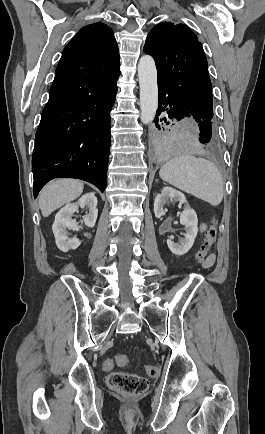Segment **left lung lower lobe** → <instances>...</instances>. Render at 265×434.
<instances>
[{"label":"left lung lower lobe","instance_id":"left-lung-lower-lobe-1","mask_svg":"<svg viewBox=\"0 0 265 434\" xmlns=\"http://www.w3.org/2000/svg\"><path fill=\"white\" fill-rule=\"evenodd\" d=\"M159 108L155 117V124L160 129L159 122L166 121V118H160L161 112L167 110L168 118L181 120L189 119L194 126L195 145L197 150L206 154L218 153L221 149V143L215 124L204 122L200 116H195L188 111L185 103L176 95L170 92L164 85L158 83ZM169 105V108H164ZM169 124V122H167ZM154 149L163 155H170L180 151L181 147L175 142L158 138L154 141Z\"/></svg>","mask_w":265,"mask_h":434}]
</instances>
